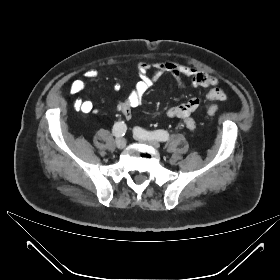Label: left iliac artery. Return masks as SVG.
Instances as JSON below:
<instances>
[{
  "mask_svg": "<svg viewBox=\"0 0 280 280\" xmlns=\"http://www.w3.org/2000/svg\"><path fill=\"white\" fill-rule=\"evenodd\" d=\"M135 132L141 137L157 139L158 141L162 142H165L169 139V133L165 130H156L153 132H148L138 127L135 128Z\"/></svg>",
  "mask_w": 280,
  "mask_h": 280,
  "instance_id": "obj_1",
  "label": "left iliac artery"
}]
</instances>
